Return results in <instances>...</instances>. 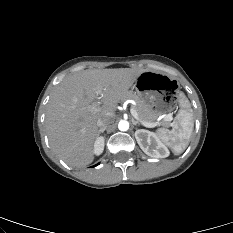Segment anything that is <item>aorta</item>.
<instances>
[{
	"label": "aorta",
	"instance_id": "obj_1",
	"mask_svg": "<svg viewBox=\"0 0 233 233\" xmlns=\"http://www.w3.org/2000/svg\"><path fill=\"white\" fill-rule=\"evenodd\" d=\"M120 131H127L129 129V122L126 120H121L118 124Z\"/></svg>",
	"mask_w": 233,
	"mask_h": 233
}]
</instances>
